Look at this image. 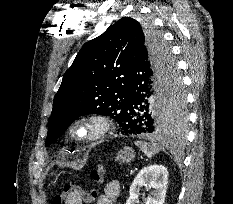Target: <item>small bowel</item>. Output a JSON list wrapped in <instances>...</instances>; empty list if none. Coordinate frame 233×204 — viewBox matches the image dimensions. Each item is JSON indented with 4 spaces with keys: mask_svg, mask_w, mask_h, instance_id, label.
<instances>
[{
    "mask_svg": "<svg viewBox=\"0 0 233 204\" xmlns=\"http://www.w3.org/2000/svg\"><path fill=\"white\" fill-rule=\"evenodd\" d=\"M120 195V184L118 181L113 180L105 185L103 194L98 198L97 204H115ZM86 199L85 202H89Z\"/></svg>",
    "mask_w": 233,
    "mask_h": 204,
    "instance_id": "1",
    "label": "small bowel"
}]
</instances>
